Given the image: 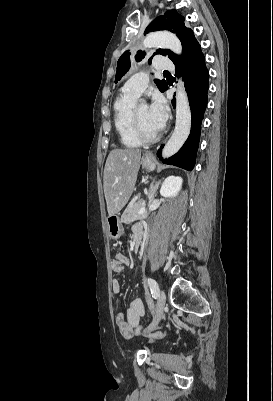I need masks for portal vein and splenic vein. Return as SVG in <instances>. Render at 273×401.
<instances>
[{"instance_id":"18ae733b","label":"portal vein and splenic vein","mask_w":273,"mask_h":401,"mask_svg":"<svg viewBox=\"0 0 273 401\" xmlns=\"http://www.w3.org/2000/svg\"><path fill=\"white\" fill-rule=\"evenodd\" d=\"M145 205H146V202L142 201L141 206H139V215H143V213L145 212Z\"/></svg>"}]
</instances>
